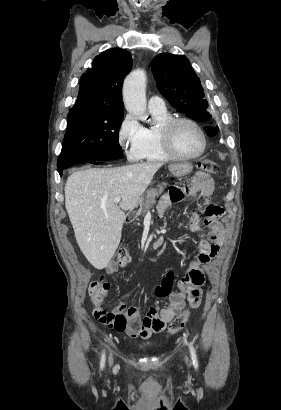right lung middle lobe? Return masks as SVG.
I'll list each match as a JSON object with an SVG mask.
<instances>
[{
	"instance_id": "obj_1",
	"label": "right lung middle lobe",
	"mask_w": 281,
	"mask_h": 410,
	"mask_svg": "<svg viewBox=\"0 0 281 410\" xmlns=\"http://www.w3.org/2000/svg\"><path fill=\"white\" fill-rule=\"evenodd\" d=\"M67 119L58 170L77 161H108L123 157L118 140L123 111L73 106Z\"/></svg>"
}]
</instances>
